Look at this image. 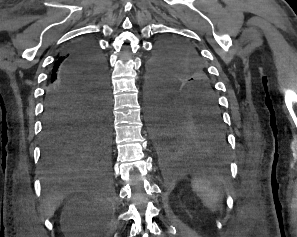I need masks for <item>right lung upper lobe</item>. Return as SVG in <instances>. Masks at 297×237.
Instances as JSON below:
<instances>
[{
  "mask_svg": "<svg viewBox=\"0 0 297 237\" xmlns=\"http://www.w3.org/2000/svg\"><path fill=\"white\" fill-rule=\"evenodd\" d=\"M68 53H66L64 56L60 57L59 60L56 62L51 75V82L50 84L57 83L61 81L62 78V67L65 63V60L67 59Z\"/></svg>",
  "mask_w": 297,
  "mask_h": 237,
  "instance_id": "1",
  "label": "right lung upper lobe"
}]
</instances>
